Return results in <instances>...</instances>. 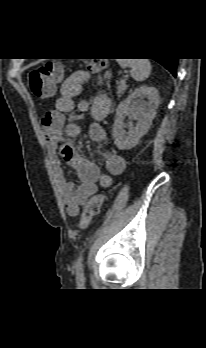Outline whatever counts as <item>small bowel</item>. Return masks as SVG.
<instances>
[{"label": "small bowel", "mask_w": 206, "mask_h": 348, "mask_svg": "<svg viewBox=\"0 0 206 348\" xmlns=\"http://www.w3.org/2000/svg\"><path fill=\"white\" fill-rule=\"evenodd\" d=\"M91 75L86 71H76L61 85L60 95L55 101L54 109L47 111L42 118V134L53 163L54 175L60 186L63 202L68 215H78L82 203L97 192L98 186L109 188L113 185L114 175H121L126 168V161L116 153L105 157L107 173L81 155L72 145L63 144L62 131L69 137H76L82 131V125L75 121H67L65 114L77 110L89 111L91 122L88 134L92 141L103 143L106 132L101 121L110 109V99L105 94L96 95L91 103L86 99L75 101ZM65 162L75 172L80 184L77 188L65 179L61 163Z\"/></svg>", "instance_id": "small-bowel-1"}]
</instances>
